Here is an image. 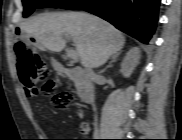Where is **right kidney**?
I'll list each match as a JSON object with an SVG mask.
<instances>
[{
    "label": "right kidney",
    "mask_w": 182,
    "mask_h": 140,
    "mask_svg": "<svg viewBox=\"0 0 182 140\" xmlns=\"http://www.w3.org/2000/svg\"><path fill=\"white\" fill-rule=\"evenodd\" d=\"M140 60V50L135 47L125 56L121 64V73L125 78H129Z\"/></svg>",
    "instance_id": "obj_1"
}]
</instances>
